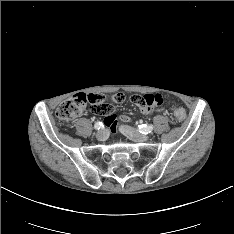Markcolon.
Masks as SVG:
<instances>
[{
    "instance_id": "5ec220e1",
    "label": "colon",
    "mask_w": 234,
    "mask_h": 234,
    "mask_svg": "<svg viewBox=\"0 0 234 234\" xmlns=\"http://www.w3.org/2000/svg\"><path fill=\"white\" fill-rule=\"evenodd\" d=\"M88 95L80 93L64 101L62 104L59 105V107L56 110L57 118L60 121L68 122L73 120L75 117H77L84 108H87L88 110V105L86 103V98ZM185 116L186 113L183 108L180 107L175 108L174 119L176 121H182L185 118Z\"/></svg>"
}]
</instances>
